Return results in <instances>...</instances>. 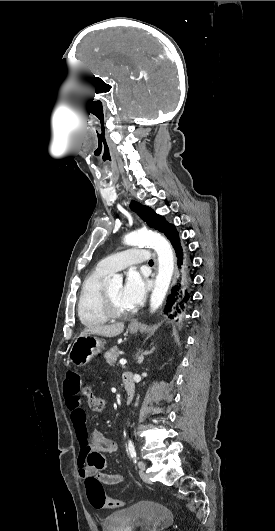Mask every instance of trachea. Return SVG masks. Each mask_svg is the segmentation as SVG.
Here are the masks:
<instances>
[{"instance_id":"3493384b","label":"trachea","mask_w":275,"mask_h":531,"mask_svg":"<svg viewBox=\"0 0 275 531\" xmlns=\"http://www.w3.org/2000/svg\"><path fill=\"white\" fill-rule=\"evenodd\" d=\"M149 263H150V264H153V260H152V259H150Z\"/></svg>"}]
</instances>
